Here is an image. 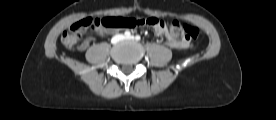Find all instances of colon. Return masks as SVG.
Segmentation results:
<instances>
[{
    "mask_svg": "<svg viewBox=\"0 0 276 120\" xmlns=\"http://www.w3.org/2000/svg\"><path fill=\"white\" fill-rule=\"evenodd\" d=\"M162 20L150 18H133V17H104V18H85L74 23L66 30L61 37V41L67 48H73L79 40L80 35L90 28L119 29L135 28L139 26H157ZM170 32L173 36H180L184 40H194L198 36V29L188 23L173 22L170 25Z\"/></svg>",
    "mask_w": 276,
    "mask_h": 120,
    "instance_id": "5ec220e1",
    "label": "colon"
}]
</instances>
